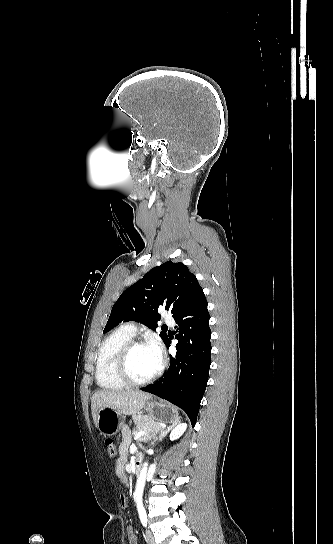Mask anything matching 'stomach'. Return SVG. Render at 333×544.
<instances>
[{
  "label": "stomach",
  "mask_w": 333,
  "mask_h": 544,
  "mask_svg": "<svg viewBox=\"0 0 333 544\" xmlns=\"http://www.w3.org/2000/svg\"><path fill=\"white\" fill-rule=\"evenodd\" d=\"M146 410L152 419L168 423L179 419L177 410L162 402H148ZM122 416L115 410L100 408L97 414V428L104 436H113L123 426Z\"/></svg>",
  "instance_id": "1"
}]
</instances>
